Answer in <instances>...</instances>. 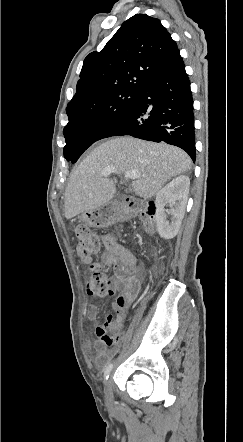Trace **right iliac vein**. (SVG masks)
Listing matches in <instances>:
<instances>
[{
    "label": "right iliac vein",
    "mask_w": 243,
    "mask_h": 442,
    "mask_svg": "<svg viewBox=\"0 0 243 442\" xmlns=\"http://www.w3.org/2000/svg\"><path fill=\"white\" fill-rule=\"evenodd\" d=\"M104 392H105V399H106L107 404L109 406H112V404H113V392H112V383H111L110 379L106 380V382H105Z\"/></svg>",
    "instance_id": "63e3f726"
}]
</instances>
